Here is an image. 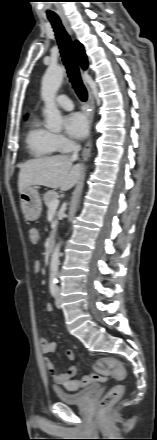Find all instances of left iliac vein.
I'll return each instance as SVG.
<instances>
[{
    "mask_svg": "<svg viewBox=\"0 0 157 440\" xmlns=\"http://www.w3.org/2000/svg\"><path fill=\"white\" fill-rule=\"evenodd\" d=\"M56 306H57V308L61 307L60 287H58V286H57V291H56Z\"/></svg>",
    "mask_w": 157,
    "mask_h": 440,
    "instance_id": "4c4485c4",
    "label": "left iliac vein"
}]
</instances>
